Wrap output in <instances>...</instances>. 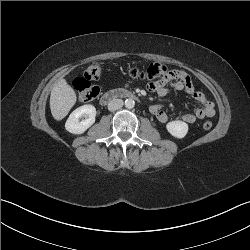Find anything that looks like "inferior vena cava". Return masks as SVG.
<instances>
[{
    "label": "inferior vena cava",
    "mask_w": 250,
    "mask_h": 250,
    "mask_svg": "<svg viewBox=\"0 0 250 250\" xmlns=\"http://www.w3.org/2000/svg\"><path fill=\"white\" fill-rule=\"evenodd\" d=\"M124 102L121 99H112L109 103H108V110L109 111H116L118 109H120L123 106Z\"/></svg>",
    "instance_id": "obj_1"
}]
</instances>
